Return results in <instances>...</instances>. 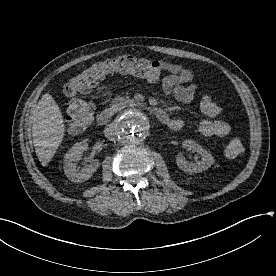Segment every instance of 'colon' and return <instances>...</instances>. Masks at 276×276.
I'll use <instances>...</instances> for the list:
<instances>
[{
	"label": "colon",
	"instance_id": "colon-1",
	"mask_svg": "<svg viewBox=\"0 0 276 276\" xmlns=\"http://www.w3.org/2000/svg\"><path fill=\"white\" fill-rule=\"evenodd\" d=\"M162 72L158 61L133 55H122L93 63L65 85L64 93L70 99L67 105L68 129L72 132H80L91 124L94 107L90 102L77 96L90 92L109 75L122 73L157 81ZM243 152L244 145L239 137H232L227 141L224 153L228 158H236Z\"/></svg>",
	"mask_w": 276,
	"mask_h": 276
}]
</instances>
